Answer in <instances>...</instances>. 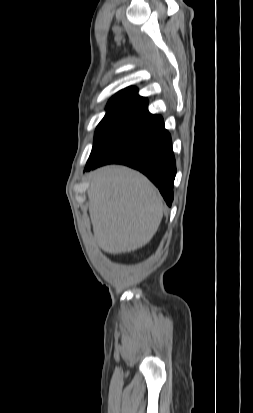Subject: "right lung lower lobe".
I'll return each mask as SVG.
<instances>
[{"label": "right lung lower lobe", "mask_w": 253, "mask_h": 413, "mask_svg": "<svg viewBox=\"0 0 253 413\" xmlns=\"http://www.w3.org/2000/svg\"><path fill=\"white\" fill-rule=\"evenodd\" d=\"M110 163L124 164L145 174L158 187L167 205L171 206L176 166L171 137L163 122L150 133L86 170Z\"/></svg>", "instance_id": "1"}]
</instances>
